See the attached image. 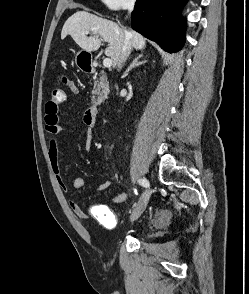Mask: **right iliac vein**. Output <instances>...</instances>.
Returning a JSON list of instances; mask_svg holds the SVG:
<instances>
[{"label": "right iliac vein", "instance_id": "1", "mask_svg": "<svg viewBox=\"0 0 249 294\" xmlns=\"http://www.w3.org/2000/svg\"><path fill=\"white\" fill-rule=\"evenodd\" d=\"M150 190H146L144 191V193L142 194L135 210L133 211L131 217H130V220L131 221H135L137 220L143 213V211L145 210L147 204H148V201H149V198H150Z\"/></svg>", "mask_w": 249, "mask_h": 294}]
</instances>
